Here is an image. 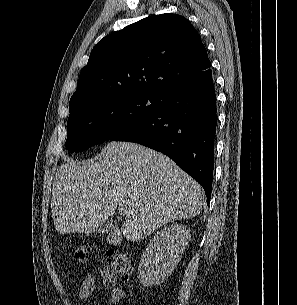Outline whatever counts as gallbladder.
<instances>
[{
    "instance_id": "bac80fb5",
    "label": "gallbladder",
    "mask_w": 297,
    "mask_h": 305,
    "mask_svg": "<svg viewBox=\"0 0 297 305\" xmlns=\"http://www.w3.org/2000/svg\"><path fill=\"white\" fill-rule=\"evenodd\" d=\"M118 228V223L113 220L104 221L99 225L98 230H96V233H106L114 231Z\"/></svg>"
}]
</instances>
